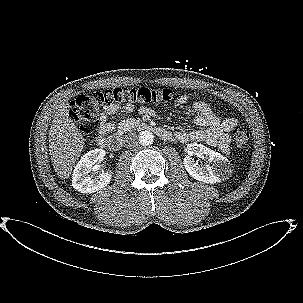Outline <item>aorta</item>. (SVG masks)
<instances>
[{
  "mask_svg": "<svg viewBox=\"0 0 303 303\" xmlns=\"http://www.w3.org/2000/svg\"><path fill=\"white\" fill-rule=\"evenodd\" d=\"M154 141V135L151 131L149 130H144L140 132L139 134V142L143 146H148L153 144Z\"/></svg>",
  "mask_w": 303,
  "mask_h": 303,
  "instance_id": "1",
  "label": "aorta"
}]
</instances>
